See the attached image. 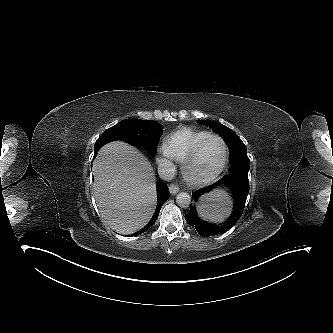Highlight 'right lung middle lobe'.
Returning a JSON list of instances; mask_svg holds the SVG:
<instances>
[{"instance_id":"dd1d6c3e","label":"right lung middle lobe","mask_w":333,"mask_h":333,"mask_svg":"<svg viewBox=\"0 0 333 333\" xmlns=\"http://www.w3.org/2000/svg\"><path fill=\"white\" fill-rule=\"evenodd\" d=\"M106 132H113L127 138L133 145L142 147L155 156L157 145L163 132V126L155 121L125 119Z\"/></svg>"}]
</instances>
